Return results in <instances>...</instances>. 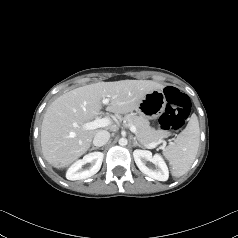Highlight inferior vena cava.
Listing matches in <instances>:
<instances>
[{"instance_id": "602c4592", "label": "inferior vena cava", "mask_w": 238, "mask_h": 238, "mask_svg": "<svg viewBox=\"0 0 238 238\" xmlns=\"http://www.w3.org/2000/svg\"><path fill=\"white\" fill-rule=\"evenodd\" d=\"M110 139V133L106 130H100L96 133L93 144L97 147L105 145Z\"/></svg>"}]
</instances>
